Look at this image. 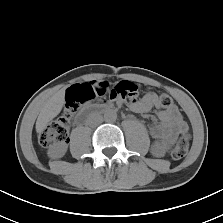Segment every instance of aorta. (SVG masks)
<instances>
[{
    "mask_svg": "<svg viewBox=\"0 0 223 223\" xmlns=\"http://www.w3.org/2000/svg\"><path fill=\"white\" fill-rule=\"evenodd\" d=\"M117 119V113L116 111L112 110V109H109V110H106L105 113H104V120L106 122H115Z\"/></svg>",
    "mask_w": 223,
    "mask_h": 223,
    "instance_id": "obj_1",
    "label": "aorta"
}]
</instances>
